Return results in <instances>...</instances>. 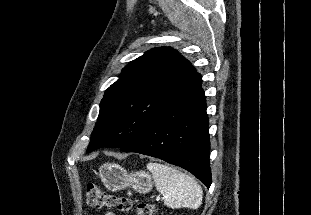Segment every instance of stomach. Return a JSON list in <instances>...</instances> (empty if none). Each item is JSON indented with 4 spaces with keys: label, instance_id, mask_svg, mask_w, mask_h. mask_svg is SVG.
<instances>
[{
    "label": "stomach",
    "instance_id": "0dacf381",
    "mask_svg": "<svg viewBox=\"0 0 311 215\" xmlns=\"http://www.w3.org/2000/svg\"><path fill=\"white\" fill-rule=\"evenodd\" d=\"M102 182L108 190L113 192L132 188L134 191L145 194L152 190L154 181L145 171L128 173L127 170L114 163H106L99 169Z\"/></svg>",
    "mask_w": 311,
    "mask_h": 215
}]
</instances>
